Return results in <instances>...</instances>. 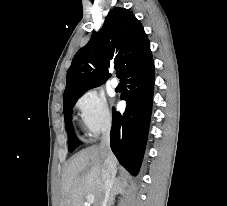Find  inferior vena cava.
<instances>
[{"mask_svg": "<svg viewBox=\"0 0 227 206\" xmlns=\"http://www.w3.org/2000/svg\"><path fill=\"white\" fill-rule=\"evenodd\" d=\"M100 148L103 155L105 156L103 170H102V180H103V197L100 202V206H107L109 197L111 194V189L114 184L115 174H116V161L115 157L110 149V132L107 130L100 143Z\"/></svg>", "mask_w": 227, "mask_h": 206, "instance_id": "602c4592", "label": "inferior vena cava"}]
</instances>
